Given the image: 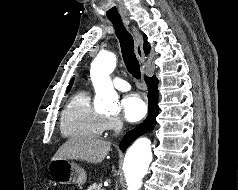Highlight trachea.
Returning <instances> with one entry per match:
<instances>
[{
	"label": "trachea",
	"mask_w": 238,
	"mask_h": 190,
	"mask_svg": "<svg viewBox=\"0 0 238 190\" xmlns=\"http://www.w3.org/2000/svg\"><path fill=\"white\" fill-rule=\"evenodd\" d=\"M115 33L119 39L123 60L127 70L135 78H141L140 65L134 53V40L132 35L125 29L120 18H111Z\"/></svg>",
	"instance_id": "obj_1"
}]
</instances>
